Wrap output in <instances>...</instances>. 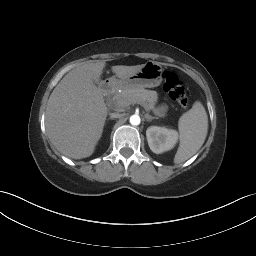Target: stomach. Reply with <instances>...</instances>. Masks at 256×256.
Masks as SVG:
<instances>
[{
  "label": "stomach",
  "mask_w": 256,
  "mask_h": 256,
  "mask_svg": "<svg viewBox=\"0 0 256 256\" xmlns=\"http://www.w3.org/2000/svg\"><path fill=\"white\" fill-rule=\"evenodd\" d=\"M163 68L160 63L149 61L141 70L133 75L122 78L115 75L110 81L119 88H154L163 80Z\"/></svg>",
  "instance_id": "1"
}]
</instances>
